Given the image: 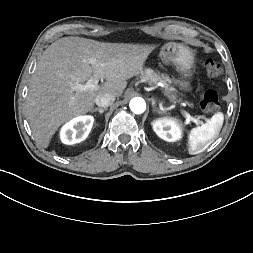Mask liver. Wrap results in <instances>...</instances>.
Here are the masks:
<instances>
[{
    "mask_svg": "<svg viewBox=\"0 0 253 253\" xmlns=\"http://www.w3.org/2000/svg\"><path fill=\"white\" fill-rule=\"evenodd\" d=\"M154 48L72 36L52 43L37 64L26 101V117L36 141L47 148L63 123L93 109L98 95L120 97L127 80L141 72ZM92 77L106 81L97 90L72 89Z\"/></svg>",
    "mask_w": 253,
    "mask_h": 253,
    "instance_id": "liver-1",
    "label": "liver"
}]
</instances>
